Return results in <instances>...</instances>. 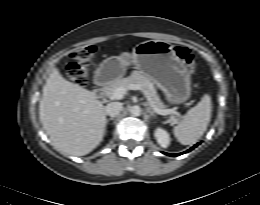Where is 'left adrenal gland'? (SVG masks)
Wrapping results in <instances>:
<instances>
[{"label":"left adrenal gland","instance_id":"a2214340","mask_svg":"<svg viewBox=\"0 0 260 205\" xmlns=\"http://www.w3.org/2000/svg\"><path fill=\"white\" fill-rule=\"evenodd\" d=\"M147 112L149 113V116L151 117H155L156 115H155V113L151 110V108L150 107H147Z\"/></svg>","mask_w":260,"mask_h":205}]
</instances>
